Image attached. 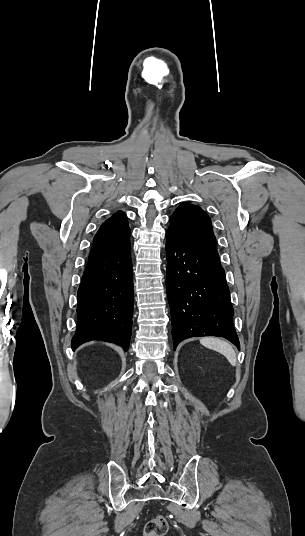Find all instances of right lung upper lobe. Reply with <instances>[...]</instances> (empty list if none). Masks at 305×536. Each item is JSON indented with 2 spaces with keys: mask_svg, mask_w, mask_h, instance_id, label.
<instances>
[{
  "mask_svg": "<svg viewBox=\"0 0 305 536\" xmlns=\"http://www.w3.org/2000/svg\"><path fill=\"white\" fill-rule=\"evenodd\" d=\"M127 216L118 211L107 219L93 239L89 259L108 255L130 246Z\"/></svg>",
  "mask_w": 305,
  "mask_h": 536,
  "instance_id": "cb5924a9",
  "label": "right lung upper lobe"
}]
</instances>
